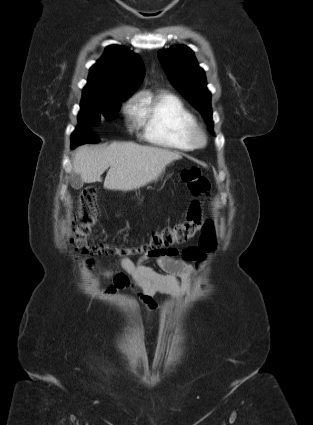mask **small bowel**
<instances>
[{"label":"small bowel","instance_id":"obj_1","mask_svg":"<svg viewBox=\"0 0 313 425\" xmlns=\"http://www.w3.org/2000/svg\"><path fill=\"white\" fill-rule=\"evenodd\" d=\"M177 253L176 250H168L158 255L144 254L137 262L124 257L120 261L123 272L113 274L110 270H104L99 276H113V284L106 290L107 293L131 287L143 302L145 309L154 310L157 308L155 300L157 294L179 296L193 287V267L186 260L174 259ZM149 258H154L162 272L144 264ZM98 278L95 277L94 285L98 283Z\"/></svg>","mask_w":313,"mask_h":425}]
</instances>
